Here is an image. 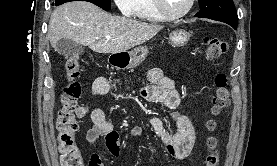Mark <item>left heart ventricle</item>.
I'll return each instance as SVG.
<instances>
[{
    "mask_svg": "<svg viewBox=\"0 0 277 166\" xmlns=\"http://www.w3.org/2000/svg\"><path fill=\"white\" fill-rule=\"evenodd\" d=\"M164 2L170 13H179L186 7L188 0H164Z\"/></svg>",
    "mask_w": 277,
    "mask_h": 166,
    "instance_id": "obj_1",
    "label": "left heart ventricle"
}]
</instances>
